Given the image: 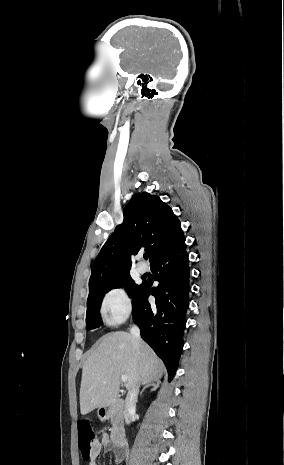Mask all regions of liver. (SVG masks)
<instances>
[{
	"mask_svg": "<svg viewBox=\"0 0 284 465\" xmlns=\"http://www.w3.org/2000/svg\"><path fill=\"white\" fill-rule=\"evenodd\" d=\"M164 367L142 339L129 333H109L83 365L80 387V413L87 415L97 407H107L117 399L121 375H127L126 389L159 381Z\"/></svg>",
	"mask_w": 284,
	"mask_h": 465,
	"instance_id": "liver-1",
	"label": "liver"
}]
</instances>
